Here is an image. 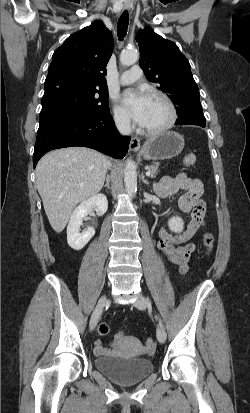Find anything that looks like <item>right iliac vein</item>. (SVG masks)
<instances>
[{
    "label": "right iliac vein",
    "mask_w": 250,
    "mask_h": 413,
    "mask_svg": "<svg viewBox=\"0 0 250 413\" xmlns=\"http://www.w3.org/2000/svg\"><path fill=\"white\" fill-rule=\"evenodd\" d=\"M107 302H108V299H107L106 296L101 297L100 300L98 301V304H97V306H96V308H95V310H94V312L91 316V320H90V329L91 330H93L96 327V325L99 321V318H100V316L103 312V309H104L105 305L107 304Z\"/></svg>",
    "instance_id": "1"
}]
</instances>
